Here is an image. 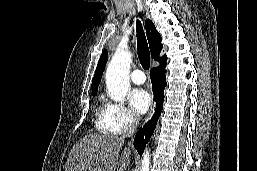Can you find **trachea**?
<instances>
[{
	"instance_id": "3493384b",
	"label": "trachea",
	"mask_w": 257,
	"mask_h": 171,
	"mask_svg": "<svg viewBox=\"0 0 257 171\" xmlns=\"http://www.w3.org/2000/svg\"><path fill=\"white\" fill-rule=\"evenodd\" d=\"M137 32V47H138V57L142 67L148 70L150 67V52L148 43L145 37V33L141 22L138 20L136 23Z\"/></svg>"
}]
</instances>
